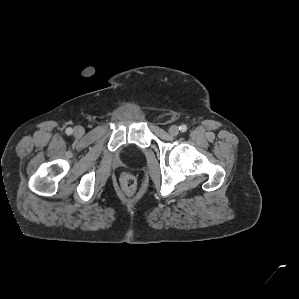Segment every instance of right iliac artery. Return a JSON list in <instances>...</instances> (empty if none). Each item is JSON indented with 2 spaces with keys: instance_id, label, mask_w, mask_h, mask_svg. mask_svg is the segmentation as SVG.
<instances>
[{
  "instance_id": "right-iliac-artery-1",
  "label": "right iliac artery",
  "mask_w": 299,
  "mask_h": 299,
  "mask_svg": "<svg viewBox=\"0 0 299 299\" xmlns=\"http://www.w3.org/2000/svg\"><path fill=\"white\" fill-rule=\"evenodd\" d=\"M72 132H73L72 128H67V129H66V133H67L68 135L72 134Z\"/></svg>"
}]
</instances>
